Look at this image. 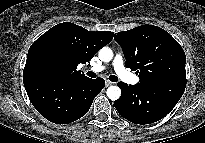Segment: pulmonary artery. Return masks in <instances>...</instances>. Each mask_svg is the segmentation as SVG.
<instances>
[{
	"mask_svg": "<svg viewBox=\"0 0 205 143\" xmlns=\"http://www.w3.org/2000/svg\"><path fill=\"white\" fill-rule=\"evenodd\" d=\"M112 65L116 74L122 81L128 84L138 83L139 81L138 77L125 69L122 55L120 54L116 55L112 62ZM104 69L105 67L102 65H94L91 67V70L94 72H101Z\"/></svg>",
	"mask_w": 205,
	"mask_h": 143,
	"instance_id": "pulmonary-artery-1",
	"label": "pulmonary artery"
}]
</instances>
